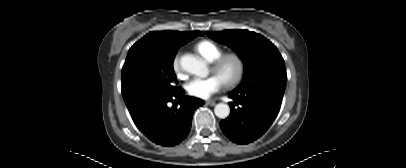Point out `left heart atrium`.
Segmentation results:
<instances>
[{
  "label": "left heart atrium",
  "instance_id": "1",
  "mask_svg": "<svg viewBox=\"0 0 406 168\" xmlns=\"http://www.w3.org/2000/svg\"><path fill=\"white\" fill-rule=\"evenodd\" d=\"M223 84L222 79L218 75H212L207 78H193L186 84V90L191 96L206 99L220 91Z\"/></svg>",
  "mask_w": 406,
  "mask_h": 168
}]
</instances>
